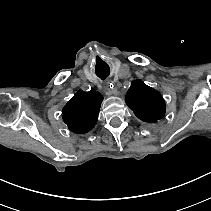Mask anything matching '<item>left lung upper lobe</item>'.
<instances>
[{"label":"left lung upper lobe","instance_id":"left-lung-upper-lobe-1","mask_svg":"<svg viewBox=\"0 0 211 211\" xmlns=\"http://www.w3.org/2000/svg\"><path fill=\"white\" fill-rule=\"evenodd\" d=\"M125 101L134 114L144 122L155 123L166 111L162 95L140 80L132 82Z\"/></svg>","mask_w":211,"mask_h":211}]
</instances>
